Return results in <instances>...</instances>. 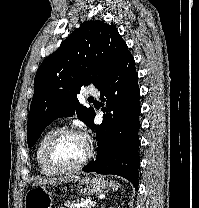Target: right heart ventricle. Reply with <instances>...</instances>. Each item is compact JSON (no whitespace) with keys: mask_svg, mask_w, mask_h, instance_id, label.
<instances>
[{"mask_svg":"<svg viewBox=\"0 0 199 208\" xmlns=\"http://www.w3.org/2000/svg\"><path fill=\"white\" fill-rule=\"evenodd\" d=\"M59 130L58 127H51L47 129L43 135L41 136L37 149H36V161L38 167L44 175L52 176L57 174L58 172L53 170L46 161L45 150L46 146L51 139V137Z\"/></svg>","mask_w":199,"mask_h":208,"instance_id":"1","label":"right heart ventricle"}]
</instances>
